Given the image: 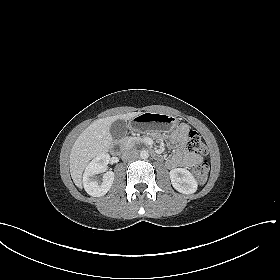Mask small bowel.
Wrapping results in <instances>:
<instances>
[{"label":"small bowel","instance_id":"small-bowel-1","mask_svg":"<svg viewBox=\"0 0 280 280\" xmlns=\"http://www.w3.org/2000/svg\"><path fill=\"white\" fill-rule=\"evenodd\" d=\"M189 126L181 124L176 131L170 136V144L174 147L173 154L166 160V165L170 169L177 167H190L202 160V156L189 152L185 148V139Z\"/></svg>","mask_w":280,"mask_h":280}]
</instances>
